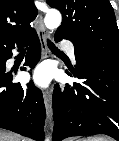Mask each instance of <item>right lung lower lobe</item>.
Masks as SVG:
<instances>
[{"instance_id": "obj_1", "label": "right lung lower lobe", "mask_w": 119, "mask_h": 141, "mask_svg": "<svg viewBox=\"0 0 119 141\" xmlns=\"http://www.w3.org/2000/svg\"><path fill=\"white\" fill-rule=\"evenodd\" d=\"M27 44L31 46L24 65L34 68L41 57V45L35 30L21 43L0 52V128L42 141L46 112L41 91L33 82L23 89L20 83H12L13 76L5 72V63L12 57L11 50Z\"/></svg>"}]
</instances>
